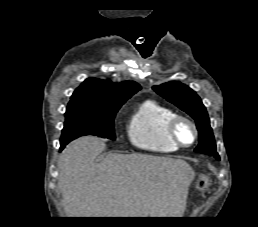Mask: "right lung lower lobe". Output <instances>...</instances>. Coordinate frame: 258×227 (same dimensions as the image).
<instances>
[{"label": "right lung lower lobe", "instance_id": "right-lung-lower-lobe-1", "mask_svg": "<svg viewBox=\"0 0 258 227\" xmlns=\"http://www.w3.org/2000/svg\"><path fill=\"white\" fill-rule=\"evenodd\" d=\"M66 144H68V143H61L60 150H62Z\"/></svg>", "mask_w": 258, "mask_h": 227}]
</instances>
